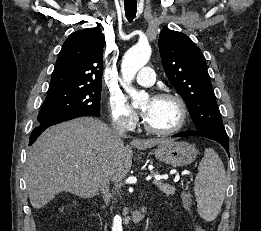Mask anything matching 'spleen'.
<instances>
[{"label":"spleen","mask_w":261,"mask_h":231,"mask_svg":"<svg viewBox=\"0 0 261 231\" xmlns=\"http://www.w3.org/2000/svg\"><path fill=\"white\" fill-rule=\"evenodd\" d=\"M226 188L227 180L222 160L212 148L205 149L194 185L198 212L204 220L213 221L217 217Z\"/></svg>","instance_id":"3e777b00"}]
</instances>
